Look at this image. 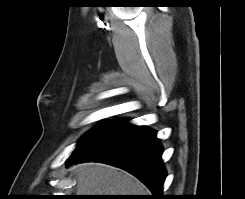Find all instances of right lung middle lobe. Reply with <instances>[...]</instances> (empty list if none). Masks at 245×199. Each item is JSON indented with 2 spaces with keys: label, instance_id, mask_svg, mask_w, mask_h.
<instances>
[{
  "label": "right lung middle lobe",
  "instance_id": "right-lung-middle-lobe-1",
  "mask_svg": "<svg viewBox=\"0 0 245 199\" xmlns=\"http://www.w3.org/2000/svg\"><path fill=\"white\" fill-rule=\"evenodd\" d=\"M121 122H123V121H109V122L101 124L99 127L95 128V129H93L92 131H90L88 134H86L80 140L79 144L76 146V148L72 152V154L84 149L85 147L89 146L90 144L101 139L107 133L112 131Z\"/></svg>",
  "mask_w": 245,
  "mask_h": 199
}]
</instances>
